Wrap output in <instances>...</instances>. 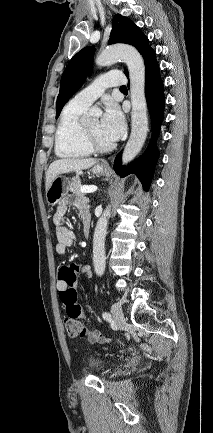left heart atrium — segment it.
<instances>
[{
    "label": "left heart atrium",
    "mask_w": 213,
    "mask_h": 433,
    "mask_svg": "<svg viewBox=\"0 0 213 433\" xmlns=\"http://www.w3.org/2000/svg\"><path fill=\"white\" fill-rule=\"evenodd\" d=\"M100 127L105 136L112 142L122 136L125 130V121L116 103L112 101L106 102L104 114L100 120Z\"/></svg>",
    "instance_id": "1"
}]
</instances>
